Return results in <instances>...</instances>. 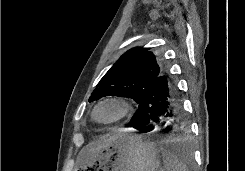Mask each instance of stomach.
<instances>
[{
	"instance_id": "0dacf381",
	"label": "stomach",
	"mask_w": 245,
	"mask_h": 171,
	"mask_svg": "<svg viewBox=\"0 0 245 171\" xmlns=\"http://www.w3.org/2000/svg\"><path fill=\"white\" fill-rule=\"evenodd\" d=\"M115 136L108 147L89 153L75 171H158L161 157L154 143L140 135Z\"/></svg>"
}]
</instances>
